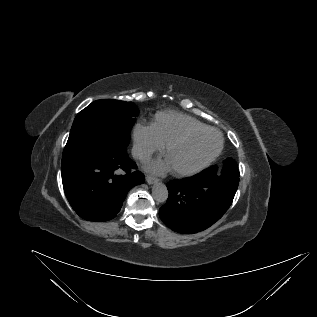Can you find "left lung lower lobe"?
<instances>
[{
	"label": "left lung lower lobe",
	"mask_w": 317,
	"mask_h": 317,
	"mask_svg": "<svg viewBox=\"0 0 317 317\" xmlns=\"http://www.w3.org/2000/svg\"><path fill=\"white\" fill-rule=\"evenodd\" d=\"M239 177L210 168L196 176L167 183L169 197L159 216L175 232L196 233L218 221L232 204Z\"/></svg>",
	"instance_id": "0a47b994"
}]
</instances>
